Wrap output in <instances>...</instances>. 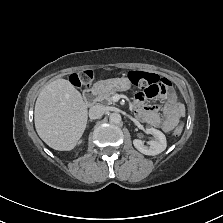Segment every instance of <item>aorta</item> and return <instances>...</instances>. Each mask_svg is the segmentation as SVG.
Here are the masks:
<instances>
[{"instance_id": "aorta-1", "label": "aorta", "mask_w": 223, "mask_h": 223, "mask_svg": "<svg viewBox=\"0 0 223 223\" xmlns=\"http://www.w3.org/2000/svg\"><path fill=\"white\" fill-rule=\"evenodd\" d=\"M109 120L112 123H120L121 122V115L119 113H111L109 116Z\"/></svg>"}]
</instances>
